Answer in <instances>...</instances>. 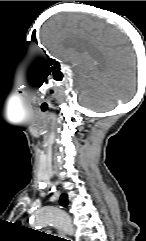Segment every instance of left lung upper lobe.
Segmentation results:
<instances>
[{
    "mask_svg": "<svg viewBox=\"0 0 146 241\" xmlns=\"http://www.w3.org/2000/svg\"><path fill=\"white\" fill-rule=\"evenodd\" d=\"M60 204L62 206H66L68 204V200H67V195L66 194H63L61 197H60V200H59Z\"/></svg>",
    "mask_w": 146,
    "mask_h": 241,
    "instance_id": "left-lung-upper-lobe-1",
    "label": "left lung upper lobe"
}]
</instances>
